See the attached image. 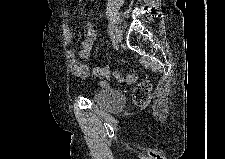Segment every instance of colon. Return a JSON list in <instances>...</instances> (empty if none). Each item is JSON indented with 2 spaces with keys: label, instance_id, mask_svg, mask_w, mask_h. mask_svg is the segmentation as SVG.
Here are the masks:
<instances>
[{
  "label": "colon",
  "instance_id": "1",
  "mask_svg": "<svg viewBox=\"0 0 225 159\" xmlns=\"http://www.w3.org/2000/svg\"><path fill=\"white\" fill-rule=\"evenodd\" d=\"M92 73L105 82L107 79L113 78L123 85H132L137 80V74L135 72H129L121 74L117 71L110 70L101 66H94ZM153 84L150 80H143L136 85L132 92V99L135 105L143 107L146 106L151 98Z\"/></svg>",
  "mask_w": 225,
  "mask_h": 159
}]
</instances>
